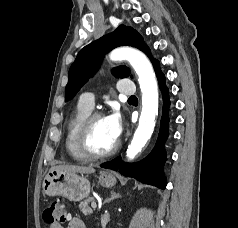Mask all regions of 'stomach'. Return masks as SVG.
Masks as SVG:
<instances>
[{
	"instance_id": "1",
	"label": "stomach",
	"mask_w": 238,
	"mask_h": 228,
	"mask_svg": "<svg viewBox=\"0 0 238 228\" xmlns=\"http://www.w3.org/2000/svg\"><path fill=\"white\" fill-rule=\"evenodd\" d=\"M103 187H112L116 184V177L108 171H103L98 177ZM43 193L49 196H63L70 201H81L90 194V182L84 176L76 173L50 170L42 184Z\"/></svg>"
}]
</instances>
